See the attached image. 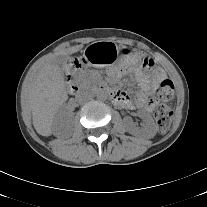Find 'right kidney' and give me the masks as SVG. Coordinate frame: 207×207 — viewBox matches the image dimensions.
<instances>
[{"instance_id": "obj_1", "label": "right kidney", "mask_w": 207, "mask_h": 207, "mask_svg": "<svg viewBox=\"0 0 207 207\" xmlns=\"http://www.w3.org/2000/svg\"><path fill=\"white\" fill-rule=\"evenodd\" d=\"M71 118H72L71 113L65 107H62L55 115L53 121V130L54 131L62 130L64 127L68 125Z\"/></svg>"}]
</instances>
